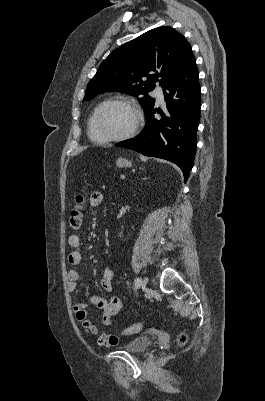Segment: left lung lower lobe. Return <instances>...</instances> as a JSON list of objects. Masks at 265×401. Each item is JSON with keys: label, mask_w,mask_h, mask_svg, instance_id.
Masks as SVG:
<instances>
[{"label": "left lung lower lobe", "mask_w": 265, "mask_h": 401, "mask_svg": "<svg viewBox=\"0 0 265 401\" xmlns=\"http://www.w3.org/2000/svg\"><path fill=\"white\" fill-rule=\"evenodd\" d=\"M163 93L166 109L153 111L152 108L146 112V125L141 133L116 146L171 161L181 168L186 181L194 163L201 110L198 70L193 55L164 86ZM156 112L161 114L159 120L154 118Z\"/></svg>", "instance_id": "1"}]
</instances>
